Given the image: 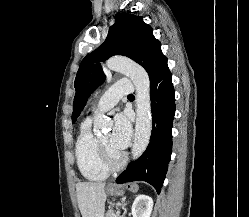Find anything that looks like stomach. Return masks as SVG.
<instances>
[{
    "instance_id": "stomach-1",
    "label": "stomach",
    "mask_w": 249,
    "mask_h": 217,
    "mask_svg": "<svg viewBox=\"0 0 249 217\" xmlns=\"http://www.w3.org/2000/svg\"><path fill=\"white\" fill-rule=\"evenodd\" d=\"M138 186L136 184H130L128 190L135 192L137 191ZM107 193H109L110 195L113 196H122L125 192L124 188L121 186H117V185H109L106 188Z\"/></svg>"
}]
</instances>
